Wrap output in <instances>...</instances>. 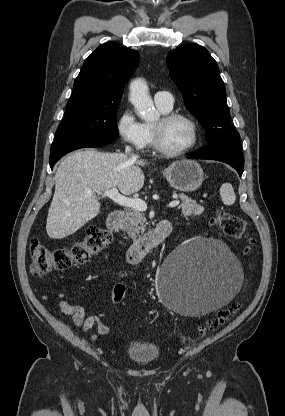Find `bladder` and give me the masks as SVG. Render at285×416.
<instances>
[{"instance_id":"bladder-1","label":"bladder","mask_w":285,"mask_h":416,"mask_svg":"<svg viewBox=\"0 0 285 416\" xmlns=\"http://www.w3.org/2000/svg\"><path fill=\"white\" fill-rule=\"evenodd\" d=\"M127 356L133 358L135 363L154 362L161 354V351L156 344L146 345L139 341L132 344L126 350Z\"/></svg>"}]
</instances>
